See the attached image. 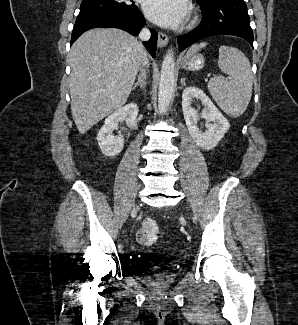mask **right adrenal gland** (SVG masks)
Masks as SVG:
<instances>
[{"mask_svg":"<svg viewBox=\"0 0 298 325\" xmlns=\"http://www.w3.org/2000/svg\"><path fill=\"white\" fill-rule=\"evenodd\" d=\"M145 78H146V74H145L144 70H141V72L138 76V80H137V82H135L134 86H132L131 90H134V88H136V86H140V88H145V86L147 84Z\"/></svg>","mask_w":298,"mask_h":325,"instance_id":"obj_1","label":"right adrenal gland"}]
</instances>
